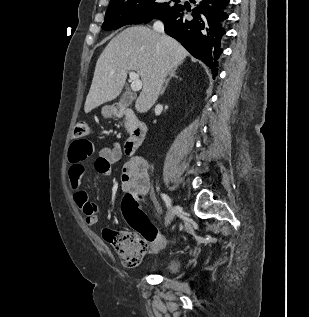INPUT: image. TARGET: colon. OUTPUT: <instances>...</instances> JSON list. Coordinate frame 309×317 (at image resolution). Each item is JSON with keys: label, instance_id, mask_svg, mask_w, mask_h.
<instances>
[{"label": "colon", "instance_id": "5ec220e1", "mask_svg": "<svg viewBox=\"0 0 309 317\" xmlns=\"http://www.w3.org/2000/svg\"><path fill=\"white\" fill-rule=\"evenodd\" d=\"M90 129L87 123L78 122L73 131V142L69 158L77 159L76 148L87 143V151L93 150L92 143L87 140ZM122 211L126 221L133 231L107 230L105 237L116 251L121 262L126 267L140 264L149 246L160 247L167 243L147 215L140 209L138 199L133 194H127L122 203Z\"/></svg>", "mask_w": 309, "mask_h": 317}]
</instances>
